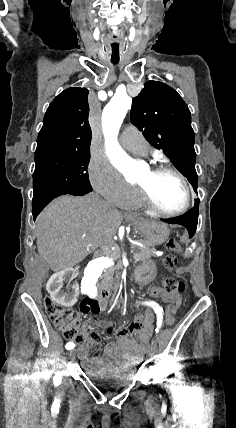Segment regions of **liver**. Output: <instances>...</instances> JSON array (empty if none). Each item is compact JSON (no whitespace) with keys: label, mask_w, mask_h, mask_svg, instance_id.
Wrapping results in <instances>:
<instances>
[{"label":"liver","mask_w":236,"mask_h":428,"mask_svg":"<svg viewBox=\"0 0 236 428\" xmlns=\"http://www.w3.org/2000/svg\"><path fill=\"white\" fill-rule=\"evenodd\" d=\"M122 220L97 194L60 196L37 218L38 254L54 272L72 268L99 246L112 248Z\"/></svg>","instance_id":"6515ba94"}]
</instances>
